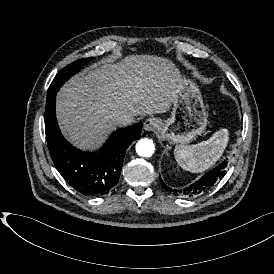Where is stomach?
Instances as JSON below:
<instances>
[{
	"mask_svg": "<svg viewBox=\"0 0 274 274\" xmlns=\"http://www.w3.org/2000/svg\"><path fill=\"white\" fill-rule=\"evenodd\" d=\"M171 117L161 122L159 134L170 143L187 144L207 125V113L196 86L181 80L175 95Z\"/></svg>",
	"mask_w": 274,
	"mask_h": 274,
	"instance_id": "0dacf381",
	"label": "stomach"
}]
</instances>
